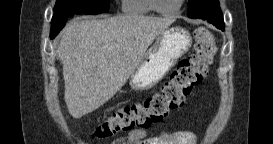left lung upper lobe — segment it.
Listing matches in <instances>:
<instances>
[{
	"label": "left lung upper lobe",
	"mask_w": 273,
	"mask_h": 144,
	"mask_svg": "<svg viewBox=\"0 0 273 144\" xmlns=\"http://www.w3.org/2000/svg\"><path fill=\"white\" fill-rule=\"evenodd\" d=\"M212 2V3H208ZM220 8L218 0H189L188 17L196 18L197 15L210 10L211 8Z\"/></svg>",
	"instance_id": "left-lung-upper-lobe-1"
}]
</instances>
